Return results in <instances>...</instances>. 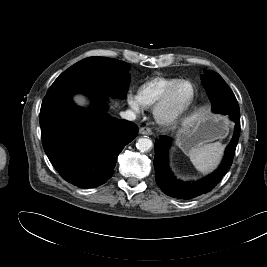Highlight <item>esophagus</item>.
Wrapping results in <instances>:
<instances>
[{"mask_svg": "<svg viewBox=\"0 0 267 267\" xmlns=\"http://www.w3.org/2000/svg\"><path fill=\"white\" fill-rule=\"evenodd\" d=\"M139 133L142 135H152V130L148 127H141Z\"/></svg>", "mask_w": 267, "mask_h": 267, "instance_id": "esophagus-1", "label": "esophagus"}]
</instances>
